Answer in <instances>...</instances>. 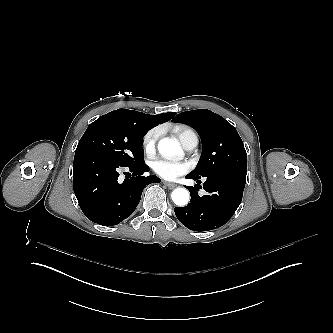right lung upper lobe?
Returning a JSON list of instances; mask_svg holds the SVG:
<instances>
[{
  "instance_id": "obj_1",
  "label": "right lung upper lobe",
  "mask_w": 333,
  "mask_h": 333,
  "mask_svg": "<svg viewBox=\"0 0 333 333\" xmlns=\"http://www.w3.org/2000/svg\"><path fill=\"white\" fill-rule=\"evenodd\" d=\"M111 113H117V114L129 116L137 121L143 122L145 125H147L148 127H151V128H153L161 123L167 122L176 114V113L172 112V113H162V114H158V115H147V114H144L141 112L132 111V110H128V109H118V110L112 111Z\"/></svg>"
}]
</instances>
